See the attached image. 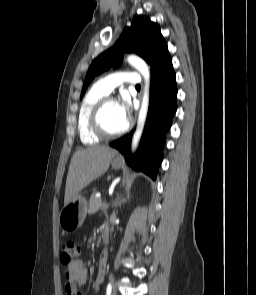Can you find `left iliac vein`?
<instances>
[{
    "instance_id": "left-iliac-vein-1",
    "label": "left iliac vein",
    "mask_w": 256,
    "mask_h": 295,
    "mask_svg": "<svg viewBox=\"0 0 256 295\" xmlns=\"http://www.w3.org/2000/svg\"><path fill=\"white\" fill-rule=\"evenodd\" d=\"M111 295H117V294H116V292H115V291H113Z\"/></svg>"
}]
</instances>
